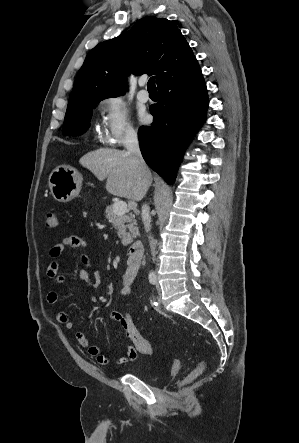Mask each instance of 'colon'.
Returning a JSON list of instances; mask_svg holds the SVG:
<instances>
[{
  "instance_id": "colon-1",
  "label": "colon",
  "mask_w": 299,
  "mask_h": 443,
  "mask_svg": "<svg viewBox=\"0 0 299 443\" xmlns=\"http://www.w3.org/2000/svg\"><path fill=\"white\" fill-rule=\"evenodd\" d=\"M58 224L59 222L56 213L54 211H47L44 215L45 227L48 229H53L57 228ZM121 323L127 339L137 349V351L144 355L152 354L153 345L141 336L130 312L122 311ZM179 368L180 362L178 360H174L171 368L172 373H177ZM203 370L204 363L200 362L194 371L186 378L185 382H189L196 378Z\"/></svg>"
}]
</instances>
